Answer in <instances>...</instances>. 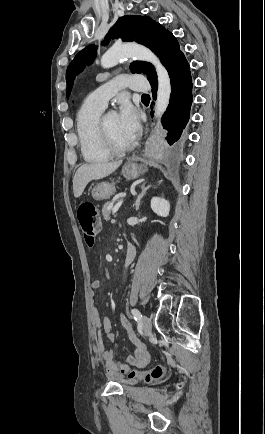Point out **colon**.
<instances>
[{
    "mask_svg": "<svg viewBox=\"0 0 265 434\" xmlns=\"http://www.w3.org/2000/svg\"><path fill=\"white\" fill-rule=\"evenodd\" d=\"M76 216L80 225L84 242L87 246H91L98 234L100 227V214L97 208L89 201L78 205L76 209ZM125 373L131 379L132 375H140L146 381L159 380L163 378L167 369L165 366L157 365L148 371H132L129 367H124Z\"/></svg>",
    "mask_w": 265,
    "mask_h": 434,
    "instance_id": "5ec220e1",
    "label": "colon"
}]
</instances>
